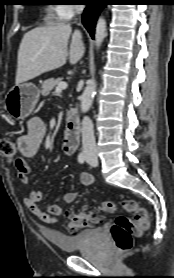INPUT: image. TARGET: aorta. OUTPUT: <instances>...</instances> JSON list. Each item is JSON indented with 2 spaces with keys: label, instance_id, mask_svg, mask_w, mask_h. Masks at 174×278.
<instances>
[{
  "label": "aorta",
  "instance_id": "aorta-1",
  "mask_svg": "<svg viewBox=\"0 0 174 278\" xmlns=\"http://www.w3.org/2000/svg\"><path fill=\"white\" fill-rule=\"evenodd\" d=\"M106 37V21L104 18L100 17L96 24L95 29V45L98 49L104 38ZM95 94V81L93 79L88 80L87 86L81 96L80 108L82 112H87L93 103V98Z\"/></svg>",
  "mask_w": 174,
  "mask_h": 278
}]
</instances>
